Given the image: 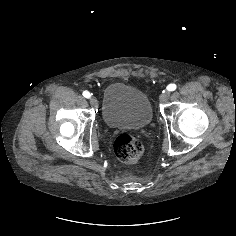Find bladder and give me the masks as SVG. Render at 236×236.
Wrapping results in <instances>:
<instances>
[{"instance_id":"obj_1","label":"bladder","mask_w":236,"mask_h":236,"mask_svg":"<svg viewBox=\"0 0 236 236\" xmlns=\"http://www.w3.org/2000/svg\"><path fill=\"white\" fill-rule=\"evenodd\" d=\"M101 114L112 129H139L147 126L153 117L152 103L140 89L120 82L106 86Z\"/></svg>"}]
</instances>
